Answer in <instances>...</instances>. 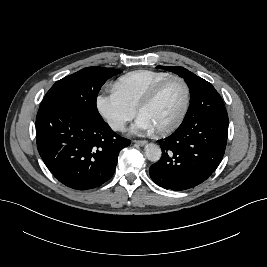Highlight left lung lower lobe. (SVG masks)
<instances>
[{
    "label": "left lung lower lobe",
    "mask_w": 267,
    "mask_h": 267,
    "mask_svg": "<svg viewBox=\"0 0 267 267\" xmlns=\"http://www.w3.org/2000/svg\"><path fill=\"white\" fill-rule=\"evenodd\" d=\"M210 107H196L190 122L159 140L162 157L149 170L157 185L187 190L204 182L217 168L227 143L228 115Z\"/></svg>",
    "instance_id": "obj_1"
}]
</instances>
